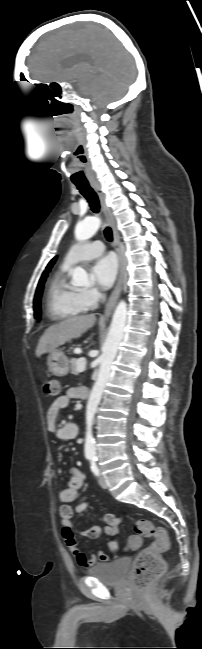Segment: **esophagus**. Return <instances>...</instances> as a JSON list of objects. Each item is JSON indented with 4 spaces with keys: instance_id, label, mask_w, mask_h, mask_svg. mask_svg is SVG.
Returning <instances> with one entry per match:
<instances>
[{
    "instance_id": "esophagus-1",
    "label": "esophagus",
    "mask_w": 202,
    "mask_h": 649,
    "mask_svg": "<svg viewBox=\"0 0 202 649\" xmlns=\"http://www.w3.org/2000/svg\"><path fill=\"white\" fill-rule=\"evenodd\" d=\"M90 185L96 191V193H97V195L99 197V200H100L102 211H103L104 215L106 216L107 221H108V223H109V225H110V227L112 229L114 245H115V249H116V252H117V255H118V260H119L118 281H117V284H116V286H115V288H114L108 302L106 303L105 310H104V316L107 317L114 310L115 305L117 303V300L119 298L121 289H122V282H123V276H124V262H123V257H122L120 245H119L120 244L119 233H118L117 228H116V223H115V219H114L112 210H111L110 206L106 202V196H105L100 184L97 181H90Z\"/></svg>"
}]
</instances>
